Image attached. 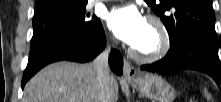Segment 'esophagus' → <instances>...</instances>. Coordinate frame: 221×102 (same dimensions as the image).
<instances>
[{"label": "esophagus", "instance_id": "obj_1", "mask_svg": "<svg viewBox=\"0 0 221 102\" xmlns=\"http://www.w3.org/2000/svg\"><path fill=\"white\" fill-rule=\"evenodd\" d=\"M123 76L125 79H135L138 77L137 70L131 65L128 60H124Z\"/></svg>", "mask_w": 221, "mask_h": 102}]
</instances>
